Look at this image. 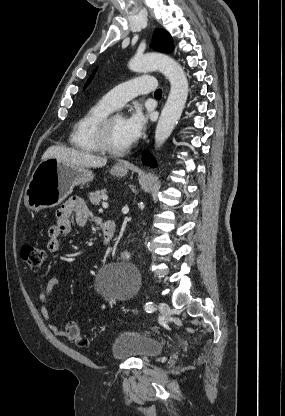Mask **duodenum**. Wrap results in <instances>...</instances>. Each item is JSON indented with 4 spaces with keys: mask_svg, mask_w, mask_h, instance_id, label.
<instances>
[{
    "mask_svg": "<svg viewBox=\"0 0 285 416\" xmlns=\"http://www.w3.org/2000/svg\"><path fill=\"white\" fill-rule=\"evenodd\" d=\"M102 230L103 244L109 246L116 232V223L113 220L98 221Z\"/></svg>",
    "mask_w": 285,
    "mask_h": 416,
    "instance_id": "410a0bca",
    "label": "duodenum"
}]
</instances>
